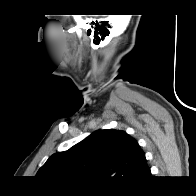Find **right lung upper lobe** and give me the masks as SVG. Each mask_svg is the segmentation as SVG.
Masks as SVG:
<instances>
[{"mask_svg": "<svg viewBox=\"0 0 196 196\" xmlns=\"http://www.w3.org/2000/svg\"><path fill=\"white\" fill-rule=\"evenodd\" d=\"M150 174L145 154L133 137L122 130L104 129L53 154L35 177L55 185L130 186Z\"/></svg>", "mask_w": 196, "mask_h": 196, "instance_id": "obj_1", "label": "right lung upper lobe"}]
</instances>
